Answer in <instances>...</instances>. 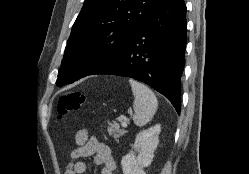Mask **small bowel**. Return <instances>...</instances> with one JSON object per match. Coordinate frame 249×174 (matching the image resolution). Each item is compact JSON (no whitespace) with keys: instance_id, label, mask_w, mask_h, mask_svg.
<instances>
[{"instance_id":"obj_1","label":"small bowel","mask_w":249,"mask_h":174,"mask_svg":"<svg viewBox=\"0 0 249 174\" xmlns=\"http://www.w3.org/2000/svg\"><path fill=\"white\" fill-rule=\"evenodd\" d=\"M76 148L71 152V162L68 164L65 174H83L87 170V164L80 158L92 157V164L100 167V174L118 173L116 161L111 148L90 135L87 129L79 130L75 135Z\"/></svg>"}]
</instances>
